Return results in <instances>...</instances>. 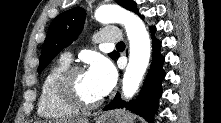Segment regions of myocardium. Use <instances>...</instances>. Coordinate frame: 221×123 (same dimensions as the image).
<instances>
[{
    "instance_id": "f54148a6",
    "label": "myocardium",
    "mask_w": 221,
    "mask_h": 123,
    "mask_svg": "<svg viewBox=\"0 0 221 123\" xmlns=\"http://www.w3.org/2000/svg\"><path fill=\"white\" fill-rule=\"evenodd\" d=\"M85 72V69L78 65L66 68L56 80V92L59 98L78 111H89L99 107L103 103V98L94 102L84 101L76 91L75 77Z\"/></svg>"
}]
</instances>
